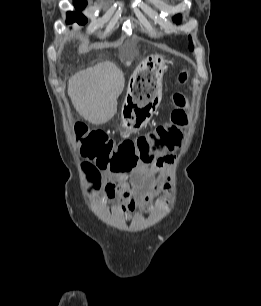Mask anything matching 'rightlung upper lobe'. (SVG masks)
<instances>
[{"mask_svg": "<svg viewBox=\"0 0 261 306\" xmlns=\"http://www.w3.org/2000/svg\"><path fill=\"white\" fill-rule=\"evenodd\" d=\"M76 1H80V0H74V2H76Z\"/></svg>", "mask_w": 261, "mask_h": 306, "instance_id": "right-lung-upper-lobe-1", "label": "right lung upper lobe"}]
</instances>
